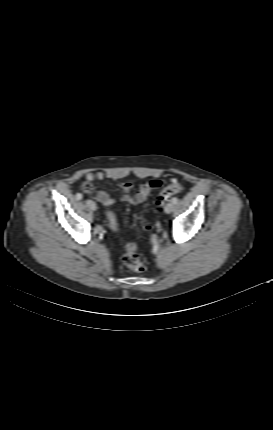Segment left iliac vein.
<instances>
[{
	"instance_id": "4c4485c4",
	"label": "left iliac vein",
	"mask_w": 273,
	"mask_h": 430,
	"mask_svg": "<svg viewBox=\"0 0 273 430\" xmlns=\"http://www.w3.org/2000/svg\"><path fill=\"white\" fill-rule=\"evenodd\" d=\"M173 209H174V205H173V203H167L166 205H165V207H164V211L167 213V214H169V213H171L172 211H173Z\"/></svg>"
}]
</instances>
